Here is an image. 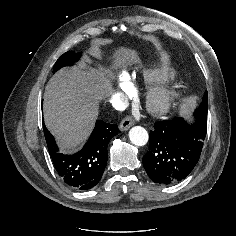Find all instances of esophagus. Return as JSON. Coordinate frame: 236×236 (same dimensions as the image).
I'll list each match as a JSON object with an SVG mask.
<instances>
[{
    "instance_id": "esophagus-1",
    "label": "esophagus",
    "mask_w": 236,
    "mask_h": 236,
    "mask_svg": "<svg viewBox=\"0 0 236 236\" xmlns=\"http://www.w3.org/2000/svg\"><path fill=\"white\" fill-rule=\"evenodd\" d=\"M134 124V120L132 119V117H125L120 125H119V129L121 131H126L128 128H130L132 125Z\"/></svg>"
}]
</instances>
